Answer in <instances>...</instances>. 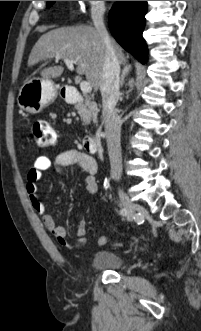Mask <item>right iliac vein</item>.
I'll return each instance as SVG.
<instances>
[{"instance_id":"obj_1","label":"right iliac vein","mask_w":201,"mask_h":331,"mask_svg":"<svg viewBox=\"0 0 201 331\" xmlns=\"http://www.w3.org/2000/svg\"><path fill=\"white\" fill-rule=\"evenodd\" d=\"M118 194L120 197V200L124 206V209L126 210V215H127V219L129 221L133 220V217L135 215V208L136 205L130 200V198L128 197V195L124 192L123 189L119 188L118 189Z\"/></svg>"}]
</instances>
